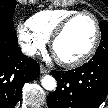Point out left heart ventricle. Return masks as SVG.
<instances>
[{"label":"left heart ventricle","instance_id":"b2bd125f","mask_svg":"<svg viewBox=\"0 0 108 108\" xmlns=\"http://www.w3.org/2000/svg\"><path fill=\"white\" fill-rule=\"evenodd\" d=\"M95 37V25L88 16L77 18L59 38L54 47L57 58L73 60L83 55Z\"/></svg>","mask_w":108,"mask_h":108}]
</instances>
